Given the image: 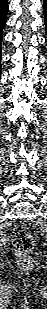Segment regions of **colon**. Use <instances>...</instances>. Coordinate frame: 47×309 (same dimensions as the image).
<instances>
[{
  "label": "colon",
  "mask_w": 47,
  "mask_h": 309,
  "mask_svg": "<svg viewBox=\"0 0 47 309\" xmlns=\"http://www.w3.org/2000/svg\"><path fill=\"white\" fill-rule=\"evenodd\" d=\"M12 243L18 264L23 268L32 265L30 253L34 246V240L28 227L19 225L12 233Z\"/></svg>",
  "instance_id": "5ec220e1"
}]
</instances>
